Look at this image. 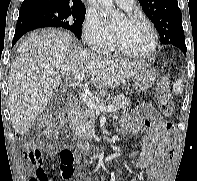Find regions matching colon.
I'll use <instances>...</instances> for the list:
<instances>
[{"mask_svg":"<svg viewBox=\"0 0 197 181\" xmlns=\"http://www.w3.org/2000/svg\"><path fill=\"white\" fill-rule=\"evenodd\" d=\"M157 95L161 112L166 116H170L173 112V103L170 99L169 84L166 79H163L159 83ZM39 130L41 134L45 136H51L61 130V124L57 117L53 116L52 114H46L43 116L39 124ZM31 157L33 162L36 163L37 168L35 175L30 179V181H52V178L42 167L43 157L41 153L34 151L31 153ZM59 160L62 178L68 179L74 172V154L69 149H63L59 153Z\"/></svg>","mask_w":197,"mask_h":181,"instance_id":"obj_1","label":"colon"}]
</instances>
